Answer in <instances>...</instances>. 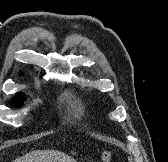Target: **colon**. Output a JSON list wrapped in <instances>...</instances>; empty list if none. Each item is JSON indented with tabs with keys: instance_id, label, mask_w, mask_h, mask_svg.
<instances>
[{
	"instance_id": "5ec220e1",
	"label": "colon",
	"mask_w": 168,
	"mask_h": 162,
	"mask_svg": "<svg viewBox=\"0 0 168 162\" xmlns=\"http://www.w3.org/2000/svg\"><path fill=\"white\" fill-rule=\"evenodd\" d=\"M101 162H113V154L111 151H104L101 154Z\"/></svg>"
}]
</instances>
